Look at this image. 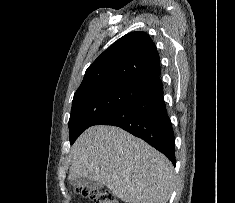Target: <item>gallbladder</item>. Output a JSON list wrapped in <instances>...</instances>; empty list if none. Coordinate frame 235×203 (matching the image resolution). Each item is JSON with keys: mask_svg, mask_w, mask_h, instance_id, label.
Wrapping results in <instances>:
<instances>
[{"mask_svg": "<svg viewBox=\"0 0 235 203\" xmlns=\"http://www.w3.org/2000/svg\"><path fill=\"white\" fill-rule=\"evenodd\" d=\"M72 184L74 186H77V187H89L90 189H97L99 188L101 185H100V181L99 180H89V179H85V178H78V179H74L72 181Z\"/></svg>", "mask_w": 235, "mask_h": 203, "instance_id": "1", "label": "gallbladder"}]
</instances>
